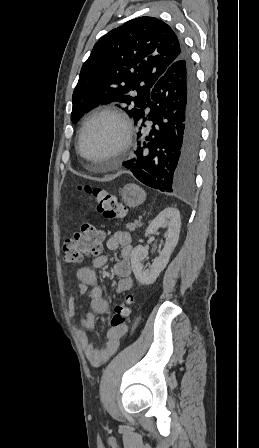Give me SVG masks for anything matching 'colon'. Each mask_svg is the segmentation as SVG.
<instances>
[{"mask_svg":"<svg viewBox=\"0 0 259 448\" xmlns=\"http://www.w3.org/2000/svg\"><path fill=\"white\" fill-rule=\"evenodd\" d=\"M79 189L94 197L95 209L104 217L119 219L126 215L127 208L125 205L109 191L90 185L80 186ZM102 237L103 233L95 226L84 223L78 233L65 241L63 246L65 260L69 263H80L89 254L98 253ZM132 303L133 296L130 294L120 298L110 317L111 327L118 328L125 325Z\"/></svg>","mask_w":259,"mask_h":448,"instance_id":"5ec220e1","label":"colon"}]
</instances>
